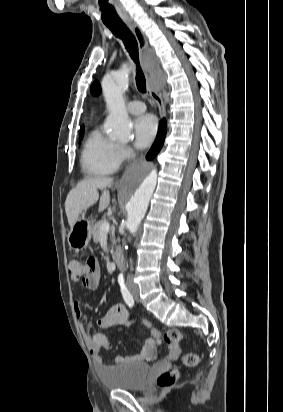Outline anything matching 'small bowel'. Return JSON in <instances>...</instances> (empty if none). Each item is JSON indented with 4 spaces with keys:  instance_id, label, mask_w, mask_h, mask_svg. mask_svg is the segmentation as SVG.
Masks as SVG:
<instances>
[{
    "instance_id": "obj_1",
    "label": "small bowel",
    "mask_w": 283,
    "mask_h": 412,
    "mask_svg": "<svg viewBox=\"0 0 283 412\" xmlns=\"http://www.w3.org/2000/svg\"><path fill=\"white\" fill-rule=\"evenodd\" d=\"M83 285L91 291H95L99 288L101 282V274L99 266L97 269L87 274L82 279ZM74 312L78 319L83 318L84 312L82 308V304L80 301L75 300L73 303ZM129 321V312L125 308V306L121 303H118L111 308H109L104 315L99 317L96 320V325L102 329H109ZM140 323L150 330L151 335L154 337H158L161 335V332L151 328V323L146 320L142 319ZM83 335L85 337L86 343L90 348V353L92 358L97 365L99 372L105 371L107 368L106 364L104 363L103 357L101 356V350H109L111 349V343L108 338L102 333H93L91 334L85 325H82ZM180 354V347L176 344H172L168 347L167 358L168 359H176ZM155 356V342L153 339L148 338L145 340L144 345L140 353L132 355V356H117L114 358V361L117 364H126V363H137L143 361H151Z\"/></svg>"
}]
</instances>
